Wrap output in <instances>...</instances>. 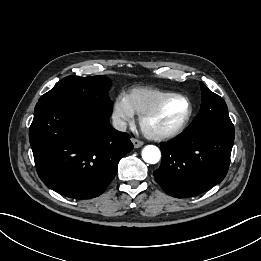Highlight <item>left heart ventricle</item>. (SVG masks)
Instances as JSON below:
<instances>
[{
  "label": "left heart ventricle",
  "instance_id": "b2bd125f",
  "mask_svg": "<svg viewBox=\"0 0 261 261\" xmlns=\"http://www.w3.org/2000/svg\"><path fill=\"white\" fill-rule=\"evenodd\" d=\"M188 105L181 99L168 102L162 111L148 121V127L153 130H165L176 126L186 115Z\"/></svg>",
  "mask_w": 261,
  "mask_h": 261
}]
</instances>
